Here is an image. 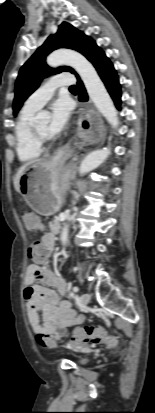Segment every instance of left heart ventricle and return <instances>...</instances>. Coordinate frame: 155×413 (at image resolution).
<instances>
[{
    "mask_svg": "<svg viewBox=\"0 0 155 413\" xmlns=\"http://www.w3.org/2000/svg\"><path fill=\"white\" fill-rule=\"evenodd\" d=\"M35 127L41 135L48 137L47 135L48 123L47 122L36 123Z\"/></svg>",
    "mask_w": 155,
    "mask_h": 413,
    "instance_id": "obj_1",
    "label": "left heart ventricle"
}]
</instances>
